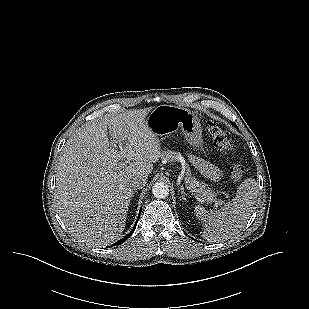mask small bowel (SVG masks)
<instances>
[{
    "label": "small bowel",
    "mask_w": 309,
    "mask_h": 309,
    "mask_svg": "<svg viewBox=\"0 0 309 309\" xmlns=\"http://www.w3.org/2000/svg\"><path fill=\"white\" fill-rule=\"evenodd\" d=\"M199 167L207 178L211 181H218L221 178V172L218 168L207 162H199Z\"/></svg>",
    "instance_id": "1"
}]
</instances>
